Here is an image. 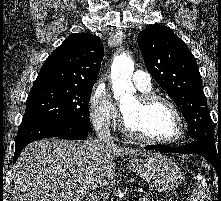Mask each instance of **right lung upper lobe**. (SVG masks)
Segmentation results:
<instances>
[{
    "instance_id": "cb5924a9",
    "label": "right lung upper lobe",
    "mask_w": 221,
    "mask_h": 201,
    "mask_svg": "<svg viewBox=\"0 0 221 201\" xmlns=\"http://www.w3.org/2000/svg\"><path fill=\"white\" fill-rule=\"evenodd\" d=\"M99 37L78 33L69 36L45 60L32 88L92 89L103 58Z\"/></svg>"
}]
</instances>
